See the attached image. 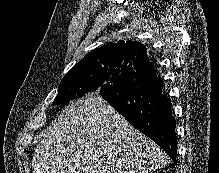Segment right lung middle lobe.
<instances>
[{
    "instance_id": "1",
    "label": "right lung middle lobe",
    "mask_w": 219,
    "mask_h": 173,
    "mask_svg": "<svg viewBox=\"0 0 219 173\" xmlns=\"http://www.w3.org/2000/svg\"><path fill=\"white\" fill-rule=\"evenodd\" d=\"M131 71L133 67L130 65L111 61L101 66H86L79 71L68 72L59 85L58 95L52 105L66 104L87 92H111Z\"/></svg>"
}]
</instances>
